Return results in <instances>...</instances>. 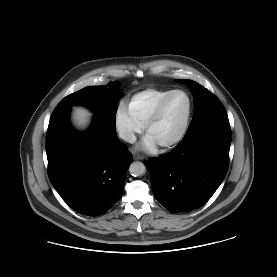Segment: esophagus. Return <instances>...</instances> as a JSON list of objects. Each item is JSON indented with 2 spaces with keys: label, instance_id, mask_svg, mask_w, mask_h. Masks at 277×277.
I'll return each mask as SVG.
<instances>
[{
  "label": "esophagus",
  "instance_id": "1",
  "mask_svg": "<svg viewBox=\"0 0 277 277\" xmlns=\"http://www.w3.org/2000/svg\"><path fill=\"white\" fill-rule=\"evenodd\" d=\"M133 159H135V160H144L145 157L142 156V155L134 154V155H133Z\"/></svg>",
  "mask_w": 277,
  "mask_h": 277
}]
</instances>
